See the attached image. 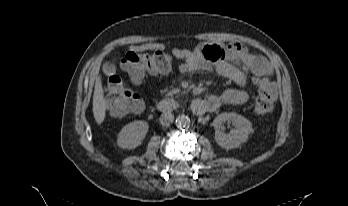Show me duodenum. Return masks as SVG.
Returning <instances> with one entry per match:
<instances>
[{"label": "duodenum", "instance_id": "1", "mask_svg": "<svg viewBox=\"0 0 348 206\" xmlns=\"http://www.w3.org/2000/svg\"><path fill=\"white\" fill-rule=\"evenodd\" d=\"M212 106V101L210 98L201 99V98H193L190 107L195 115H202L208 111H210ZM179 108V104L172 99H164L161 100L157 104V110L161 113H172Z\"/></svg>", "mask_w": 348, "mask_h": 206}]
</instances>
